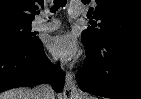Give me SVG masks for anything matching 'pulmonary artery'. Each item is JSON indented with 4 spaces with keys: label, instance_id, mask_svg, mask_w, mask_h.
<instances>
[{
    "label": "pulmonary artery",
    "instance_id": "obj_1",
    "mask_svg": "<svg viewBox=\"0 0 141 99\" xmlns=\"http://www.w3.org/2000/svg\"><path fill=\"white\" fill-rule=\"evenodd\" d=\"M83 12L82 6L78 3H74L69 8V14L72 17H76ZM49 14L47 11H43L41 16L36 18L33 22V26L36 30L44 31V32H52L59 28L60 23L58 20L51 19L48 20Z\"/></svg>",
    "mask_w": 141,
    "mask_h": 99
}]
</instances>
